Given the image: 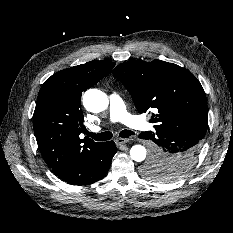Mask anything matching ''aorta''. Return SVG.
Masks as SVG:
<instances>
[{
  "mask_svg": "<svg viewBox=\"0 0 233 233\" xmlns=\"http://www.w3.org/2000/svg\"><path fill=\"white\" fill-rule=\"evenodd\" d=\"M109 104L107 95L97 89H89L83 95L84 107L93 113L104 111ZM130 156L136 162H141L146 158V149L142 145H134L130 149Z\"/></svg>",
  "mask_w": 233,
  "mask_h": 233,
  "instance_id": "obj_1",
  "label": "aorta"
}]
</instances>
